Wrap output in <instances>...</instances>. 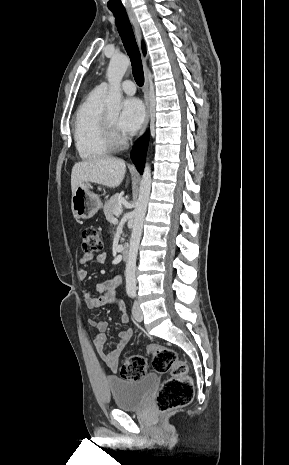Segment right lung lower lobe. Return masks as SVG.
Wrapping results in <instances>:
<instances>
[{
	"label": "right lung lower lobe",
	"instance_id": "obj_1",
	"mask_svg": "<svg viewBox=\"0 0 289 465\" xmlns=\"http://www.w3.org/2000/svg\"><path fill=\"white\" fill-rule=\"evenodd\" d=\"M148 147V135H144L136 143L134 149L132 150L131 157L134 164L137 167V170L142 174L145 164V157Z\"/></svg>",
	"mask_w": 289,
	"mask_h": 465
}]
</instances>
